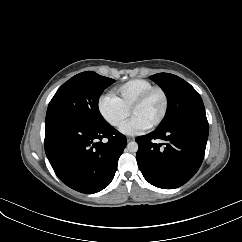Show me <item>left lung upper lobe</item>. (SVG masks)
<instances>
[{
	"instance_id": "1",
	"label": "left lung upper lobe",
	"mask_w": 242,
	"mask_h": 242,
	"mask_svg": "<svg viewBox=\"0 0 242 242\" xmlns=\"http://www.w3.org/2000/svg\"><path fill=\"white\" fill-rule=\"evenodd\" d=\"M166 93L167 112L158 126L164 128L172 123L193 115H206L203 101L198 92L185 80L169 73L150 76Z\"/></svg>"
}]
</instances>
